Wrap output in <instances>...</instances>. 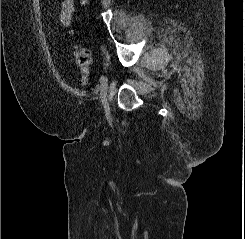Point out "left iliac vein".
I'll use <instances>...</instances> for the list:
<instances>
[{"label": "left iliac vein", "mask_w": 245, "mask_h": 239, "mask_svg": "<svg viewBox=\"0 0 245 239\" xmlns=\"http://www.w3.org/2000/svg\"><path fill=\"white\" fill-rule=\"evenodd\" d=\"M107 89H108V78L105 77V80L101 85V101L106 112H108L110 109L108 99H107Z\"/></svg>", "instance_id": "4c4485c4"}]
</instances>
